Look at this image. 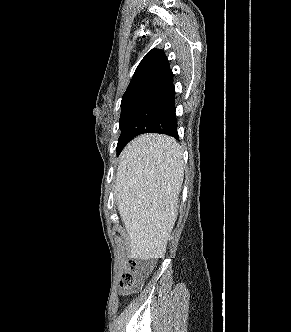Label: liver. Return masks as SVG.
<instances>
[{"mask_svg":"<svg viewBox=\"0 0 291 332\" xmlns=\"http://www.w3.org/2000/svg\"><path fill=\"white\" fill-rule=\"evenodd\" d=\"M182 150L169 136L145 134L123 149L115 200L130 239V257L163 258L178 215Z\"/></svg>","mask_w":291,"mask_h":332,"instance_id":"1","label":"liver"}]
</instances>
